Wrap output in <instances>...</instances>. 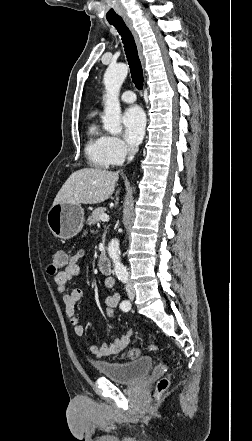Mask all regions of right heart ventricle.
<instances>
[{"label":"right heart ventricle","instance_id":"obj_1","mask_svg":"<svg viewBox=\"0 0 252 441\" xmlns=\"http://www.w3.org/2000/svg\"><path fill=\"white\" fill-rule=\"evenodd\" d=\"M85 153L90 164L97 168L113 165L107 152V136L99 129L95 120H92L87 128Z\"/></svg>","mask_w":252,"mask_h":441}]
</instances>
